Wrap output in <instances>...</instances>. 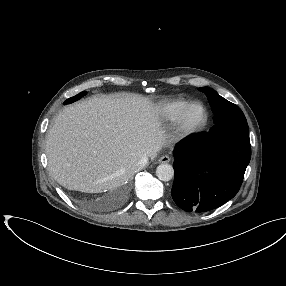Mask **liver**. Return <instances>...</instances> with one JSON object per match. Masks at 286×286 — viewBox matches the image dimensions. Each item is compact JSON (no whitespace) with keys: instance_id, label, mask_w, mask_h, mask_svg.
Masks as SVG:
<instances>
[{"instance_id":"liver-1","label":"liver","mask_w":286,"mask_h":286,"mask_svg":"<svg viewBox=\"0 0 286 286\" xmlns=\"http://www.w3.org/2000/svg\"><path fill=\"white\" fill-rule=\"evenodd\" d=\"M157 109L138 95L93 96L55 118L46 140L52 177L86 193L117 188L165 145Z\"/></svg>"}]
</instances>
